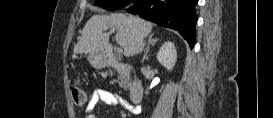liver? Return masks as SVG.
Segmentation results:
<instances>
[{
  "instance_id": "obj_1",
  "label": "liver",
  "mask_w": 273,
  "mask_h": 118,
  "mask_svg": "<svg viewBox=\"0 0 273 118\" xmlns=\"http://www.w3.org/2000/svg\"><path fill=\"white\" fill-rule=\"evenodd\" d=\"M108 29L117 30L116 42L124 49V55L129 57L143 50V40L151 32L152 24L121 13L94 15L85 24L73 52L90 54L110 48L109 34L104 32Z\"/></svg>"
}]
</instances>
